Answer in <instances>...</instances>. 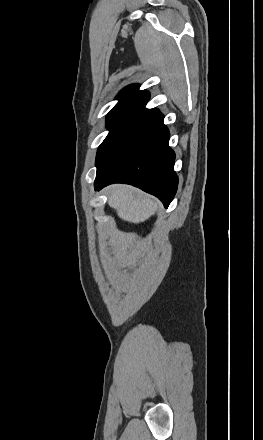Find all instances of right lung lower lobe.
Returning a JSON list of instances; mask_svg holds the SVG:
<instances>
[{"instance_id":"98d812e1","label":"right lung lower lobe","mask_w":263,"mask_h":440,"mask_svg":"<svg viewBox=\"0 0 263 440\" xmlns=\"http://www.w3.org/2000/svg\"><path fill=\"white\" fill-rule=\"evenodd\" d=\"M160 113L144 135L103 179H95V190L112 183H127L155 195L168 207L175 196L178 178L175 154L169 147V131Z\"/></svg>"}]
</instances>
